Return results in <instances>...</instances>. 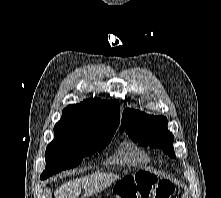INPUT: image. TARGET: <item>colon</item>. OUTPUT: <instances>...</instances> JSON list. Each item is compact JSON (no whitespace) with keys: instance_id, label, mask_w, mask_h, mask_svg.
<instances>
[{"instance_id":"colon-1","label":"colon","mask_w":221,"mask_h":198,"mask_svg":"<svg viewBox=\"0 0 221 198\" xmlns=\"http://www.w3.org/2000/svg\"><path fill=\"white\" fill-rule=\"evenodd\" d=\"M176 193L171 182L158 180L148 172H140L121 179L110 198H174Z\"/></svg>"}]
</instances>
